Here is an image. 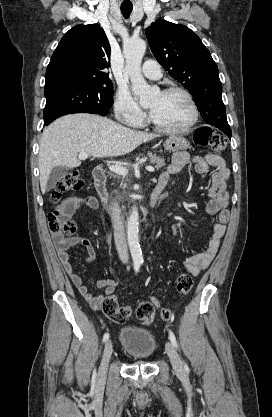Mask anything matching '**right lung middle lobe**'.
<instances>
[{
	"mask_svg": "<svg viewBox=\"0 0 272 417\" xmlns=\"http://www.w3.org/2000/svg\"><path fill=\"white\" fill-rule=\"evenodd\" d=\"M44 124L73 111L106 115L113 104V86L60 87L44 91Z\"/></svg>",
	"mask_w": 272,
	"mask_h": 417,
	"instance_id": "obj_1",
	"label": "right lung middle lobe"
}]
</instances>
